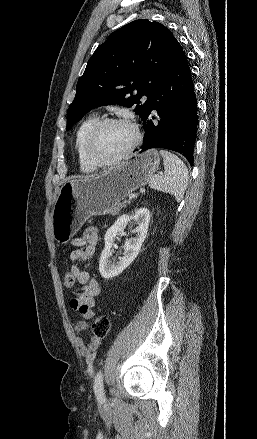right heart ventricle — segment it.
<instances>
[{
  "label": "right heart ventricle",
  "instance_id": "right-heart-ventricle-1",
  "mask_svg": "<svg viewBox=\"0 0 257 439\" xmlns=\"http://www.w3.org/2000/svg\"><path fill=\"white\" fill-rule=\"evenodd\" d=\"M100 121L97 115H91L81 122L75 135V150L78 157V164L81 171L91 173L95 167L88 161L85 154V140L92 128Z\"/></svg>",
  "mask_w": 257,
  "mask_h": 439
}]
</instances>
